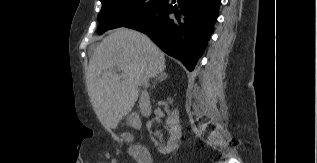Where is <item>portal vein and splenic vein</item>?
Listing matches in <instances>:
<instances>
[{"mask_svg": "<svg viewBox=\"0 0 317 163\" xmlns=\"http://www.w3.org/2000/svg\"><path fill=\"white\" fill-rule=\"evenodd\" d=\"M116 70H117V71H121V67L118 66V65H116Z\"/></svg>", "mask_w": 317, "mask_h": 163, "instance_id": "18ae733b", "label": "portal vein and splenic vein"}]
</instances>
